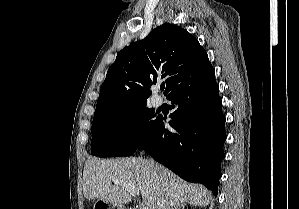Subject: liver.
<instances>
[{
	"mask_svg": "<svg viewBox=\"0 0 299 209\" xmlns=\"http://www.w3.org/2000/svg\"><path fill=\"white\" fill-rule=\"evenodd\" d=\"M142 158L86 161L83 171V193L87 200L98 198L113 206H123L131 201V193L119 180L139 191L143 204L156 209L160 197L167 199L168 207H179L185 202L193 206H207L212 200L211 192L202 185L188 183L169 169Z\"/></svg>",
	"mask_w": 299,
	"mask_h": 209,
	"instance_id": "liver-1",
	"label": "liver"
}]
</instances>
